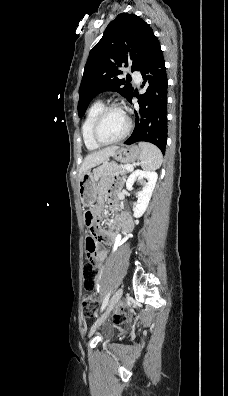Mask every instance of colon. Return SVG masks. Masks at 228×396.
Listing matches in <instances>:
<instances>
[{"label": "colon", "instance_id": "colon-1", "mask_svg": "<svg viewBox=\"0 0 228 396\" xmlns=\"http://www.w3.org/2000/svg\"><path fill=\"white\" fill-rule=\"evenodd\" d=\"M85 223L90 232V236L86 238V255L87 262H85L83 267V277H84V287L86 290L91 291L95 288V282L99 275V268L97 264L94 262L92 255L97 250V230L98 226L96 225V215L87 211L85 213ZM98 307V300L95 295L88 294L83 297L82 300V311L83 314L87 317H92ZM116 323H124L128 321V317L124 313H119L115 316Z\"/></svg>", "mask_w": 228, "mask_h": 396}]
</instances>
